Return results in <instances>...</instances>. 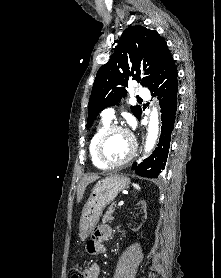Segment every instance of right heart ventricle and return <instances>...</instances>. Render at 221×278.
<instances>
[{"mask_svg": "<svg viewBox=\"0 0 221 278\" xmlns=\"http://www.w3.org/2000/svg\"><path fill=\"white\" fill-rule=\"evenodd\" d=\"M109 126V121L103 120L95 129L94 133L92 134L90 141H89V146H88V150H89V155H90V159L91 162L93 163L94 166H96L97 168H101L104 169L106 168L105 166H103L97 159L96 154H95V146H96V142L98 137L100 136V134Z\"/></svg>", "mask_w": 221, "mask_h": 278, "instance_id": "1", "label": "right heart ventricle"}]
</instances>
